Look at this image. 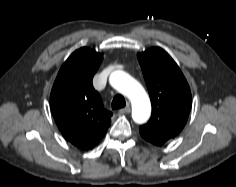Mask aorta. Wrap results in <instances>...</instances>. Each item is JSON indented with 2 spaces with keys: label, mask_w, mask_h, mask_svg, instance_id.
<instances>
[{
  "label": "aorta",
  "mask_w": 236,
  "mask_h": 187,
  "mask_svg": "<svg viewBox=\"0 0 236 187\" xmlns=\"http://www.w3.org/2000/svg\"><path fill=\"white\" fill-rule=\"evenodd\" d=\"M110 84L131 101L133 120L137 123L147 121L151 113V104L142 85L123 71L113 72Z\"/></svg>",
  "instance_id": "1"
}]
</instances>
